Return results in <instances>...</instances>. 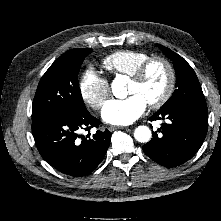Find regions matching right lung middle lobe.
<instances>
[{
    "label": "right lung middle lobe",
    "instance_id": "right-lung-middle-lobe-1",
    "mask_svg": "<svg viewBox=\"0 0 221 221\" xmlns=\"http://www.w3.org/2000/svg\"><path fill=\"white\" fill-rule=\"evenodd\" d=\"M92 51L86 48L71 49L49 67L36 90L32 120L87 110L77 76L84 58Z\"/></svg>",
    "mask_w": 221,
    "mask_h": 221
}]
</instances>
